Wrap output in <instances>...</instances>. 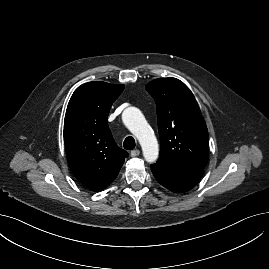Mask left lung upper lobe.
Instances as JSON below:
<instances>
[{
  "label": "left lung upper lobe",
  "mask_w": 269,
  "mask_h": 269,
  "mask_svg": "<svg viewBox=\"0 0 269 269\" xmlns=\"http://www.w3.org/2000/svg\"><path fill=\"white\" fill-rule=\"evenodd\" d=\"M146 90L157 105L159 159L204 169L208 130L190 89L176 78H158L149 82Z\"/></svg>",
  "instance_id": "left-lung-upper-lobe-1"
}]
</instances>
